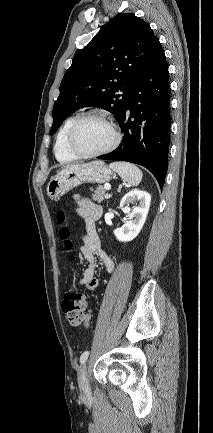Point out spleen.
Instances as JSON below:
<instances>
[{
  "label": "spleen",
  "mask_w": 213,
  "mask_h": 433,
  "mask_svg": "<svg viewBox=\"0 0 213 433\" xmlns=\"http://www.w3.org/2000/svg\"><path fill=\"white\" fill-rule=\"evenodd\" d=\"M109 167L118 173V175L132 186L140 184L143 174L134 164L128 162H114Z\"/></svg>",
  "instance_id": "3e777b00"
}]
</instances>
